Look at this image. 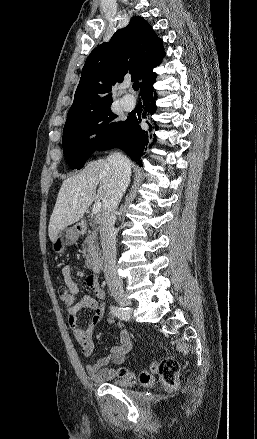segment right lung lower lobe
Returning a JSON list of instances; mask_svg holds the SVG:
<instances>
[{
  "label": "right lung lower lobe",
  "mask_w": 257,
  "mask_h": 439,
  "mask_svg": "<svg viewBox=\"0 0 257 439\" xmlns=\"http://www.w3.org/2000/svg\"><path fill=\"white\" fill-rule=\"evenodd\" d=\"M156 81L154 78L142 93L144 110L148 115H152L156 112L155 101L157 99V94L153 89V83ZM145 115V114H144ZM146 118V116H144ZM140 118L128 117L127 123L123 131L114 138L111 142L106 145L101 146L97 150H107L111 148H120L124 150L130 158L135 161L139 166H142L141 156L147 147H151L152 143L156 141L155 134H152V127L155 126L157 130L156 122L146 121L149 125V129H141L139 122Z\"/></svg>",
  "instance_id": "1"
}]
</instances>
